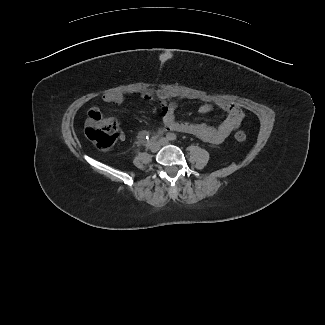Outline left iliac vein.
I'll use <instances>...</instances> for the list:
<instances>
[{
	"instance_id": "left-iliac-vein-1",
	"label": "left iliac vein",
	"mask_w": 325,
	"mask_h": 325,
	"mask_svg": "<svg viewBox=\"0 0 325 325\" xmlns=\"http://www.w3.org/2000/svg\"><path fill=\"white\" fill-rule=\"evenodd\" d=\"M160 143H161V145H166V144L169 143V141H168L166 138H162V139L160 140Z\"/></svg>"
}]
</instances>
